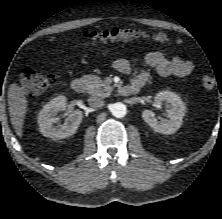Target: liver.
<instances>
[{"instance_id": "6515ba94", "label": "liver", "mask_w": 222, "mask_h": 219, "mask_svg": "<svg viewBox=\"0 0 222 219\" xmlns=\"http://www.w3.org/2000/svg\"><path fill=\"white\" fill-rule=\"evenodd\" d=\"M8 106L13 128L16 134L21 138L27 111V99L22 88L16 83H12L8 89Z\"/></svg>"}]
</instances>
